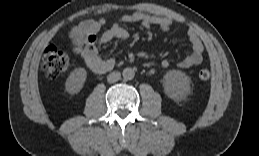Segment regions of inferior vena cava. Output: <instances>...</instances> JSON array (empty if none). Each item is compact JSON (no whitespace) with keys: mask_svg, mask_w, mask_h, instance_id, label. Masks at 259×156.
Instances as JSON below:
<instances>
[{"mask_svg":"<svg viewBox=\"0 0 259 156\" xmlns=\"http://www.w3.org/2000/svg\"><path fill=\"white\" fill-rule=\"evenodd\" d=\"M120 78H121L120 72L114 71V72L110 73V74L107 76V81H108L109 83H114V82H117Z\"/></svg>","mask_w":259,"mask_h":156,"instance_id":"obj_1","label":"inferior vena cava"}]
</instances>
